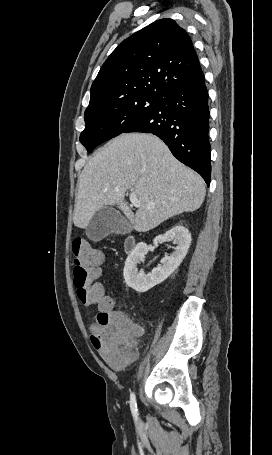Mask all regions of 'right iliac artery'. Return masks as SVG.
Segmentation results:
<instances>
[{"mask_svg":"<svg viewBox=\"0 0 272 455\" xmlns=\"http://www.w3.org/2000/svg\"><path fill=\"white\" fill-rule=\"evenodd\" d=\"M130 408L131 412L133 414V417L137 419L138 413H137V403H136V397L135 394L132 393L130 396Z\"/></svg>","mask_w":272,"mask_h":455,"instance_id":"obj_1","label":"right iliac artery"}]
</instances>
